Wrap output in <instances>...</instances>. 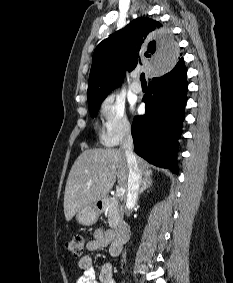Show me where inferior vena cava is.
<instances>
[{
    "mask_svg": "<svg viewBox=\"0 0 233 283\" xmlns=\"http://www.w3.org/2000/svg\"><path fill=\"white\" fill-rule=\"evenodd\" d=\"M121 149L125 152L129 168L127 198L125 206V213L129 216L131 208L136 204L139 187L143 181L137 158L133 152V139L130 128H127L123 134Z\"/></svg>",
    "mask_w": 233,
    "mask_h": 283,
    "instance_id": "inferior-vena-cava-1",
    "label": "inferior vena cava"
}]
</instances>
